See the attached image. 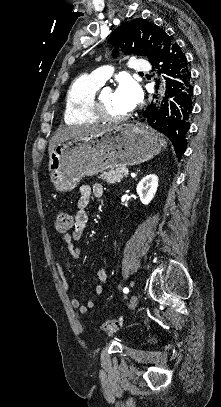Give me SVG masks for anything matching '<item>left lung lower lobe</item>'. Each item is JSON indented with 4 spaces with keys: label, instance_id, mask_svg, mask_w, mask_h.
<instances>
[{
    "label": "left lung lower lobe",
    "instance_id": "1",
    "mask_svg": "<svg viewBox=\"0 0 221 407\" xmlns=\"http://www.w3.org/2000/svg\"><path fill=\"white\" fill-rule=\"evenodd\" d=\"M166 79L164 104L157 110L151 104L143 113L155 130L166 135L180 157L186 150V133L190 128L189 116L193 109L191 72L181 48L170 36L163 41L159 59L154 63Z\"/></svg>",
    "mask_w": 221,
    "mask_h": 407
}]
</instances>
